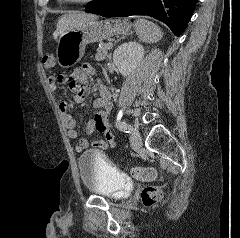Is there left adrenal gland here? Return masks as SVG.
<instances>
[{
  "instance_id": "a2214340",
  "label": "left adrenal gland",
  "mask_w": 240,
  "mask_h": 238,
  "mask_svg": "<svg viewBox=\"0 0 240 238\" xmlns=\"http://www.w3.org/2000/svg\"><path fill=\"white\" fill-rule=\"evenodd\" d=\"M127 35H129V34H126V35H123L120 39H118L116 42H118L119 40H121V39H124ZM115 42V43H116Z\"/></svg>"
}]
</instances>
